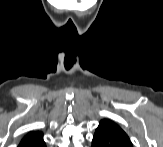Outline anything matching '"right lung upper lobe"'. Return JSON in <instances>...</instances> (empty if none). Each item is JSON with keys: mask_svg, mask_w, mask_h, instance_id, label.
<instances>
[{"mask_svg": "<svg viewBox=\"0 0 163 147\" xmlns=\"http://www.w3.org/2000/svg\"><path fill=\"white\" fill-rule=\"evenodd\" d=\"M37 134H42L41 132H30L28 135H37Z\"/></svg>", "mask_w": 163, "mask_h": 147, "instance_id": "obj_1", "label": "right lung upper lobe"}]
</instances>
